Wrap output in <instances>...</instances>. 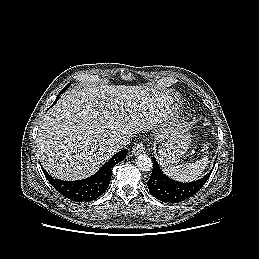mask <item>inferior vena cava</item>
Segmentation results:
<instances>
[{
	"mask_svg": "<svg viewBox=\"0 0 259 259\" xmlns=\"http://www.w3.org/2000/svg\"><path fill=\"white\" fill-rule=\"evenodd\" d=\"M130 144V139L128 138H125V139H122L120 141H117L115 144H114V148L116 150H119V149H122L124 147H126L127 145Z\"/></svg>",
	"mask_w": 259,
	"mask_h": 259,
	"instance_id": "obj_1",
	"label": "inferior vena cava"
}]
</instances>
